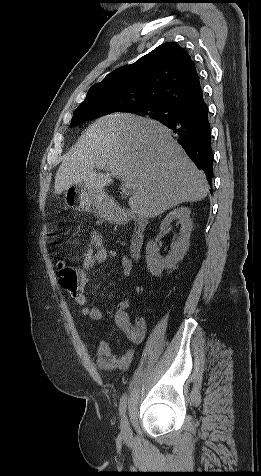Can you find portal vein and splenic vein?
Listing matches in <instances>:
<instances>
[{"label":"portal vein and splenic vein","instance_id":"obj_1","mask_svg":"<svg viewBox=\"0 0 261 476\" xmlns=\"http://www.w3.org/2000/svg\"><path fill=\"white\" fill-rule=\"evenodd\" d=\"M113 175L117 176L122 181L124 186V193L126 195H130L135 189V185L133 184L132 180L129 177L120 175L118 173H114Z\"/></svg>","mask_w":261,"mask_h":476}]
</instances>
